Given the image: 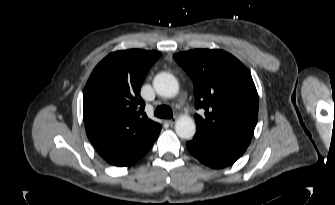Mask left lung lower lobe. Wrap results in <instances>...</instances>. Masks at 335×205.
Here are the masks:
<instances>
[{"label":"left lung lower lobe","mask_w":335,"mask_h":205,"mask_svg":"<svg viewBox=\"0 0 335 205\" xmlns=\"http://www.w3.org/2000/svg\"><path fill=\"white\" fill-rule=\"evenodd\" d=\"M190 153L211 168H224L234 163L247 147L229 144L196 133L193 140L186 143Z\"/></svg>","instance_id":"obj_1"}]
</instances>
